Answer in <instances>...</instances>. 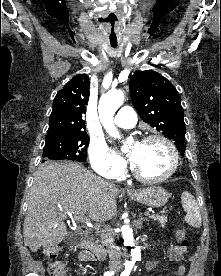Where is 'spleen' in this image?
<instances>
[{
  "label": "spleen",
  "mask_w": 221,
  "mask_h": 276,
  "mask_svg": "<svg viewBox=\"0 0 221 276\" xmlns=\"http://www.w3.org/2000/svg\"><path fill=\"white\" fill-rule=\"evenodd\" d=\"M182 206L186 211L185 222L195 228L201 226V214L195 198L187 191L181 195Z\"/></svg>",
  "instance_id": "3e777b00"
}]
</instances>
